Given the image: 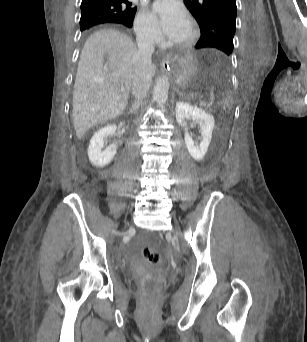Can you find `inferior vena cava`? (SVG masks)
Segmentation results:
<instances>
[{
    "mask_svg": "<svg viewBox=\"0 0 307 342\" xmlns=\"http://www.w3.org/2000/svg\"><path fill=\"white\" fill-rule=\"evenodd\" d=\"M138 52L134 56L133 76H132V94L137 102H142L147 96L151 86L155 70L152 68L151 56L155 50L154 38L138 34L136 38Z\"/></svg>",
    "mask_w": 307,
    "mask_h": 342,
    "instance_id": "inferior-vena-cava-1",
    "label": "inferior vena cava"
}]
</instances>
